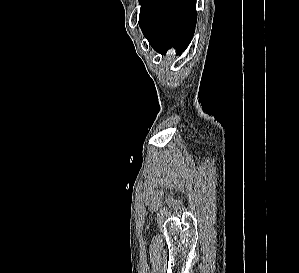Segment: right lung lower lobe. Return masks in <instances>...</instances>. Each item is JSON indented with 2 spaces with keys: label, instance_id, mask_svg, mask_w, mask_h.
<instances>
[{
  "label": "right lung lower lobe",
  "instance_id": "obj_1",
  "mask_svg": "<svg viewBox=\"0 0 299 273\" xmlns=\"http://www.w3.org/2000/svg\"><path fill=\"white\" fill-rule=\"evenodd\" d=\"M139 25L159 53L184 51L195 32L196 0H140Z\"/></svg>",
  "mask_w": 299,
  "mask_h": 273
}]
</instances>
